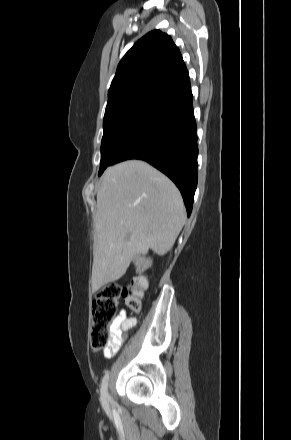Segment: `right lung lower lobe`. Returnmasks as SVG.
<instances>
[{"instance_id":"98d812e1","label":"right lung lower lobe","mask_w":291,"mask_h":440,"mask_svg":"<svg viewBox=\"0 0 291 440\" xmlns=\"http://www.w3.org/2000/svg\"><path fill=\"white\" fill-rule=\"evenodd\" d=\"M189 77L153 100L136 128L111 159L144 160L166 174L179 188L191 214L197 187V134Z\"/></svg>"}]
</instances>
